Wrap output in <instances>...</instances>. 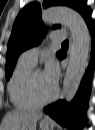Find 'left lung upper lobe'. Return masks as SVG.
I'll return each instance as SVG.
<instances>
[{
	"label": "left lung upper lobe",
	"instance_id": "obj_1",
	"mask_svg": "<svg viewBox=\"0 0 95 130\" xmlns=\"http://www.w3.org/2000/svg\"><path fill=\"white\" fill-rule=\"evenodd\" d=\"M51 5H65L77 10L83 17L89 13L84 0H44L43 7ZM60 28L55 25L53 28ZM46 29L41 20V7L38 3L27 5L17 16L12 34L8 42L6 56V79L9 80L13 73L19 55L26 49L38 45ZM59 53V52H58ZM57 53V54H58Z\"/></svg>",
	"mask_w": 95,
	"mask_h": 130
}]
</instances>
